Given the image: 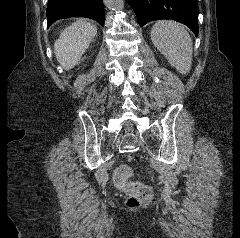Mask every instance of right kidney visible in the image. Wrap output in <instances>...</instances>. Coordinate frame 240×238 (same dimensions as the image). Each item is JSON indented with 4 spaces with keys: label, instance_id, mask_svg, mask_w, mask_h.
<instances>
[{
    "label": "right kidney",
    "instance_id": "obj_1",
    "mask_svg": "<svg viewBox=\"0 0 240 238\" xmlns=\"http://www.w3.org/2000/svg\"><path fill=\"white\" fill-rule=\"evenodd\" d=\"M96 34V26L83 19L65 29L54 45V52L60 65L69 70L78 64Z\"/></svg>",
    "mask_w": 240,
    "mask_h": 238
}]
</instances>
